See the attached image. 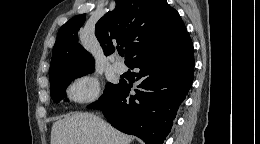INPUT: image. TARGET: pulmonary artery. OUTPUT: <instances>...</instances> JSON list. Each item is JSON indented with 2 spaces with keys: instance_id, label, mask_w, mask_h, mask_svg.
I'll use <instances>...</instances> for the list:
<instances>
[{
  "instance_id": "e3ab8cb5",
  "label": "pulmonary artery",
  "mask_w": 260,
  "mask_h": 144,
  "mask_svg": "<svg viewBox=\"0 0 260 144\" xmlns=\"http://www.w3.org/2000/svg\"><path fill=\"white\" fill-rule=\"evenodd\" d=\"M112 67L117 73H122L125 71V66L118 61H113Z\"/></svg>"
}]
</instances>
